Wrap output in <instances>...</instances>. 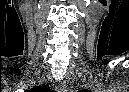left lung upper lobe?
<instances>
[{
    "mask_svg": "<svg viewBox=\"0 0 129 92\" xmlns=\"http://www.w3.org/2000/svg\"><path fill=\"white\" fill-rule=\"evenodd\" d=\"M82 92H88L87 90H82Z\"/></svg>",
    "mask_w": 129,
    "mask_h": 92,
    "instance_id": "left-lung-upper-lobe-1",
    "label": "left lung upper lobe"
}]
</instances>
